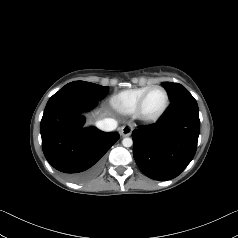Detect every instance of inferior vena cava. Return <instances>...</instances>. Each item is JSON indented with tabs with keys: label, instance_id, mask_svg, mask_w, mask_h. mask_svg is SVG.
I'll return each mask as SVG.
<instances>
[{
	"label": "inferior vena cava",
	"instance_id": "1",
	"mask_svg": "<svg viewBox=\"0 0 238 238\" xmlns=\"http://www.w3.org/2000/svg\"><path fill=\"white\" fill-rule=\"evenodd\" d=\"M96 126L103 131H112L117 127V121L112 118H105L103 120H99L96 123Z\"/></svg>",
	"mask_w": 238,
	"mask_h": 238
}]
</instances>
